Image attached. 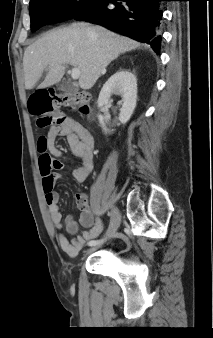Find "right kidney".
<instances>
[{"label": "right kidney", "instance_id": "right-kidney-1", "mask_svg": "<svg viewBox=\"0 0 213 338\" xmlns=\"http://www.w3.org/2000/svg\"><path fill=\"white\" fill-rule=\"evenodd\" d=\"M112 94L121 95L122 107L120 109L119 120L126 124L131 118L137 102V79L134 74L127 70H119L113 74L103 85L97 101L98 107L101 108L110 102ZM98 120L101 127L107 133L108 129L104 117L99 114Z\"/></svg>", "mask_w": 213, "mask_h": 338}]
</instances>
